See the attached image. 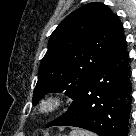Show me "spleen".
Instances as JSON below:
<instances>
[{
	"label": "spleen",
	"instance_id": "obj_1",
	"mask_svg": "<svg viewBox=\"0 0 136 136\" xmlns=\"http://www.w3.org/2000/svg\"><path fill=\"white\" fill-rule=\"evenodd\" d=\"M71 136H95L89 132H85L82 130H78V131H73V133L71 134Z\"/></svg>",
	"mask_w": 136,
	"mask_h": 136
}]
</instances>
